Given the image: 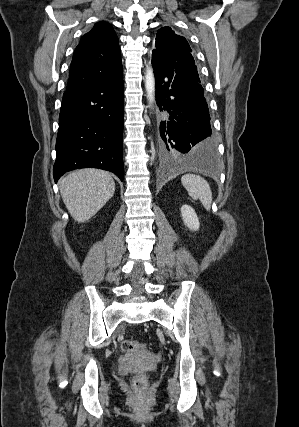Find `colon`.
<instances>
[{
    "label": "colon",
    "instance_id": "5ec220e1",
    "mask_svg": "<svg viewBox=\"0 0 299 427\" xmlns=\"http://www.w3.org/2000/svg\"><path fill=\"white\" fill-rule=\"evenodd\" d=\"M122 350L125 353H132L135 352L139 349H142L144 346L142 344H140L137 341H133V340H124L122 342ZM133 387L138 391V392H142L147 388V376L145 372H140L138 374L135 375V377L133 378Z\"/></svg>",
    "mask_w": 299,
    "mask_h": 427
}]
</instances>
